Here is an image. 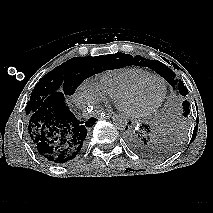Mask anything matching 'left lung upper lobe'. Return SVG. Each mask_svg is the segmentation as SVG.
<instances>
[{"label":"left lung upper lobe","mask_w":213,"mask_h":213,"mask_svg":"<svg viewBox=\"0 0 213 213\" xmlns=\"http://www.w3.org/2000/svg\"><path fill=\"white\" fill-rule=\"evenodd\" d=\"M126 60L128 61L126 65H136V66H146L153 69L155 72L160 74L171 86L173 89L178 90L181 96L185 97L188 94L187 88L184 86V83L181 80L176 79L174 72L169 69L166 65L162 64L159 61L144 59L141 56L134 57L125 54ZM183 107V117L187 118L190 112V104L188 101L182 103ZM166 138V137H165ZM176 146V140L173 141L169 137L165 140L163 139L161 143V149L163 155H167L174 149Z\"/></svg>","instance_id":"5c2ea615"}]
</instances>
